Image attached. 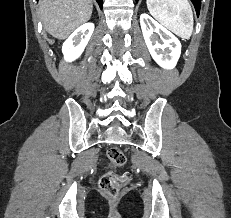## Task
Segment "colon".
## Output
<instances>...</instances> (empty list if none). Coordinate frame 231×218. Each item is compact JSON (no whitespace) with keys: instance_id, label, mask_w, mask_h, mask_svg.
<instances>
[{"instance_id":"1","label":"colon","mask_w":231,"mask_h":218,"mask_svg":"<svg viewBox=\"0 0 231 218\" xmlns=\"http://www.w3.org/2000/svg\"><path fill=\"white\" fill-rule=\"evenodd\" d=\"M107 157L111 164L122 166L126 162L123 151L117 147H112L107 151ZM128 183L126 175H116L112 172L105 173L99 180V187L102 192L110 197H117L121 189Z\"/></svg>"}]
</instances>
